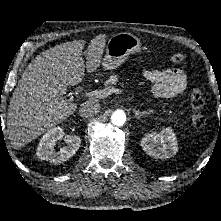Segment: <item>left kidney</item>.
I'll use <instances>...</instances> for the list:
<instances>
[{"instance_id":"5707ae66","label":"left kidney","mask_w":221,"mask_h":221,"mask_svg":"<svg viewBox=\"0 0 221 221\" xmlns=\"http://www.w3.org/2000/svg\"><path fill=\"white\" fill-rule=\"evenodd\" d=\"M140 143L148 155L158 159L170 158L178 151L176 135L171 127H166L159 133L146 134Z\"/></svg>"}]
</instances>
